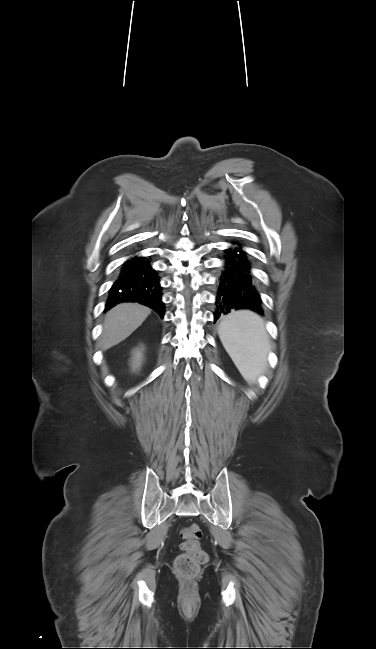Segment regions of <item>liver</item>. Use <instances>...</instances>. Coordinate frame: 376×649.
Segmentation results:
<instances>
[{
	"mask_svg": "<svg viewBox=\"0 0 376 649\" xmlns=\"http://www.w3.org/2000/svg\"><path fill=\"white\" fill-rule=\"evenodd\" d=\"M151 310L137 303H121L108 311L100 340L109 349L128 338L148 317Z\"/></svg>",
	"mask_w": 376,
	"mask_h": 649,
	"instance_id": "liver-1",
	"label": "liver"
}]
</instances>
